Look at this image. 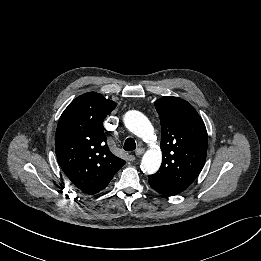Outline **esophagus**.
<instances>
[{"instance_id":"34e87169","label":"esophagus","mask_w":261,"mask_h":261,"mask_svg":"<svg viewBox=\"0 0 261 261\" xmlns=\"http://www.w3.org/2000/svg\"><path fill=\"white\" fill-rule=\"evenodd\" d=\"M144 153V149L143 148H138V149H136V151H135V155L136 156H140V155H142Z\"/></svg>"}]
</instances>
